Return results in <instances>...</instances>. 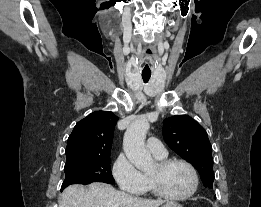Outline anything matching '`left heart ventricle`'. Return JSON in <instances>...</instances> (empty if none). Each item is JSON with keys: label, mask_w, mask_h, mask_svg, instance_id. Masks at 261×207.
Returning <instances> with one entry per match:
<instances>
[{"label": "left heart ventricle", "mask_w": 261, "mask_h": 207, "mask_svg": "<svg viewBox=\"0 0 261 207\" xmlns=\"http://www.w3.org/2000/svg\"><path fill=\"white\" fill-rule=\"evenodd\" d=\"M149 175L155 177L161 187L169 194L183 195L192 186V178L189 170L182 164H172L161 170L156 164Z\"/></svg>", "instance_id": "b2bd125f"}]
</instances>
